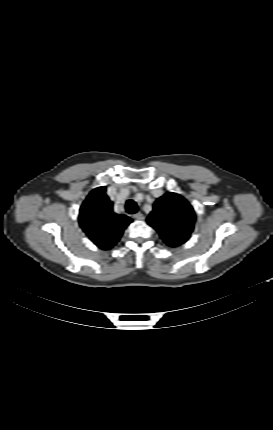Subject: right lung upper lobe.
I'll return each mask as SVG.
<instances>
[{"label":"right lung upper lobe","mask_w":273,"mask_h":430,"mask_svg":"<svg viewBox=\"0 0 273 430\" xmlns=\"http://www.w3.org/2000/svg\"><path fill=\"white\" fill-rule=\"evenodd\" d=\"M105 191V187H98L90 192L80 208L78 220L92 242L99 248L108 250L117 243L132 220L126 215L113 212V203Z\"/></svg>","instance_id":"cb5924a9"}]
</instances>
